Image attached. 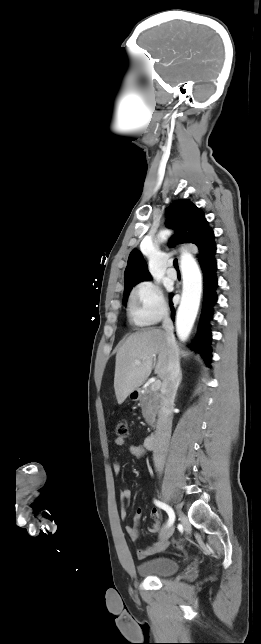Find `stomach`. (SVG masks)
Masks as SVG:
<instances>
[{
	"mask_svg": "<svg viewBox=\"0 0 261 644\" xmlns=\"http://www.w3.org/2000/svg\"><path fill=\"white\" fill-rule=\"evenodd\" d=\"M135 394H136V397H135ZM137 394H138V392H137V391H133V392H131V393L129 394V397H130L131 399L135 400V399H137Z\"/></svg>",
	"mask_w": 261,
	"mask_h": 644,
	"instance_id": "obj_1",
	"label": "stomach"
}]
</instances>
